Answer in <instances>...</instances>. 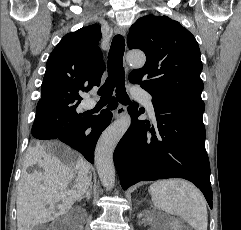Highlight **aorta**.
Instances as JSON below:
<instances>
[{"label":"aorta","instance_id":"1","mask_svg":"<svg viewBox=\"0 0 241 230\" xmlns=\"http://www.w3.org/2000/svg\"><path fill=\"white\" fill-rule=\"evenodd\" d=\"M127 62L135 68L145 64L146 57L142 52H129ZM131 124L129 115L116 121L100 137L95 151V164L99 178L106 189H112L115 183V168L113 162L114 150Z\"/></svg>","mask_w":241,"mask_h":230}]
</instances>
